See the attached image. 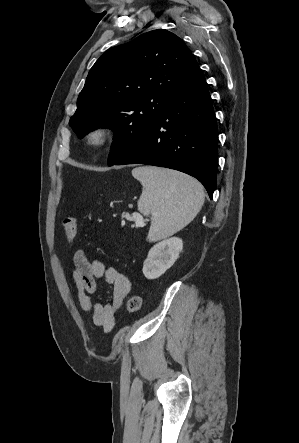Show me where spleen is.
Returning <instances> with one entry per match:
<instances>
[{
	"mask_svg": "<svg viewBox=\"0 0 299 443\" xmlns=\"http://www.w3.org/2000/svg\"><path fill=\"white\" fill-rule=\"evenodd\" d=\"M143 191L138 210L151 214L150 242L174 234L188 225L204 203L203 186L194 178L177 171L143 166L132 170Z\"/></svg>",
	"mask_w": 299,
	"mask_h": 443,
	"instance_id": "spleen-1",
	"label": "spleen"
}]
</instances>
